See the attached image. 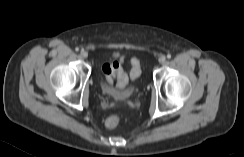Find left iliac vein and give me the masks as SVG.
<instances>
[{"label": "left iliac vein", "instance_id": "4c4485c4", "mask_svg": "<svg viewBox=\"0 0 244 157\" xmlns=\"http://www.w3.org/2000/svg\"><path fill=\"white\" fill-rule=\"evenodd\" d=\"M159 62L161 63V64H163V63H165L166 62V57L165 56H160L159 57Z\"/></svg>", "mask_w": 244, "mask_h": 157}]
</instances>
